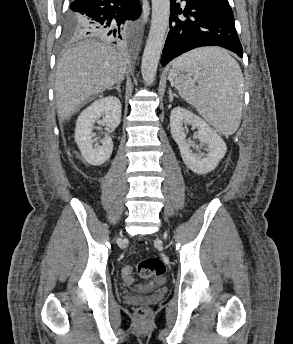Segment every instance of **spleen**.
<instances>
[{
    "label": "spleen",
    "mask_w": 293,
    "mask_h": 344,
    "mask_svg": "<svg viewBox=\"0 0 293 344\" xmlns=\"http://www.w3.org/2000/svg\"><path fill=\"white\" fill-rule=\"evenodd\" d=\"M174 64L188 73L175 80L180 96L219 132L233 134L241 121L244 90L237 61L223 49L204 47L182 55Z\"/></svg>",
    "instance_id": "3e777b00"
}]
</instances>
